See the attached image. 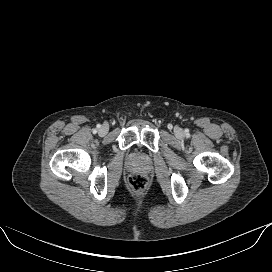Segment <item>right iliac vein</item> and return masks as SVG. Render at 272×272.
I'll list each match as a JSON object with an SVG mask.
<instances>
[{
  "label": "right iliac vein",
  "mask_w": 272,
  "mask_h": 272,
  "mask_svg": "<svg viewBox=\"0 0 272 272\" xmlns=\"http://www.w3.org/2000/svg\"><path fill=\"white\" fill-rule=\"evenodd\" d=\"M108 130H109L108 126L104 124V125H102L101 128L99 129V134H100L101 136H104V135H106V134L108 133Z\"/></svg>",
  "instance_id": "63e3f726"
}]
</instances>
